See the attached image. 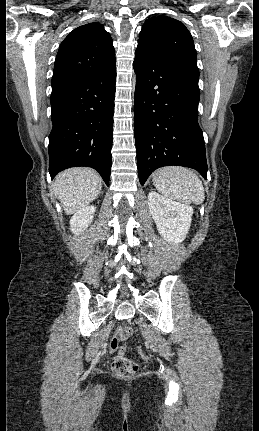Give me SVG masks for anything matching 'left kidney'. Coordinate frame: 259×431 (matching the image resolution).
<instances>
[{
    "instance_id": "1",
    "label": "left kidney",
    "mask_w": 259,
    "mask_h": 431,
    "mask_svg": "<svg viewBox=\"0 0 259 431\" xmlns=\"http://www.w3.org/2000/svg\"><path fill=\"white\" fill-rule=\"evenodd\" d=\"M148 207L159 234L167 242H182L191 226L193 208L175 202L155 191L148 194Z\"/></svg>"
}]
</instances>
